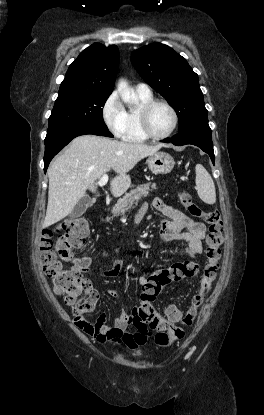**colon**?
Masks as SVG:
<instances>
[{
    "mask_svg": "<svg viewBox=\"0 0 264 415\" xmlns=\"http://www.w3.org/2000/svg\"><path fill=\"white\" fill-rule=\"evenodd\" d=\"M179 200L191 216L204 219L208 229L206 263L200 287L187 311L182 312L176 306L170 305L161 315L153 305L157 292L172 282L193 276L197 266L191 261H186L158 271L146 283L141 294V304L133 318V324L138 331L135 335L137 341H141L143 336L150 332H156L155 340L159 345L181 340L185 335L183 327L193 325L198 308L210 290L220 267L223 244V222L220 212L215 209L203 210L186 191L179 192ZM89 235L88 221L84 218L74 219L61 231L44 230L40 240V252L42 267L53 283L54 294L64 296V303L72 309L73 319L81 328L92 330L93 323L88 321L86 316L94 309L98 292L84 275L87 260L74 255V251L82 248Z\"/></svg>",
    "mask_w": 264,
    "mask_h": 415,
    "instance_id": "obj_1",
    "label": "colon"
}]
</instances>
